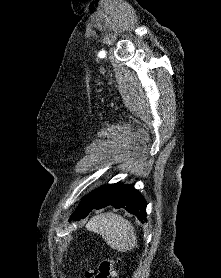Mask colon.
Returning a JSON list of instances; mask_svg holds the SVG:
<instances>
[{
  "label": "colon",
  "instance_id": "1",
  "mask_svg": "<svg viewBox=\"0 0 221 278\" xmlns=\"http://www.w3.org/2000/svg\"><path fill=\"white\" fill-rule=\"evenodd\" d=\"M117 260L108 258L101 261L96 272L87 270L86 278H117Z\"/></svg>",
  "mask_w": 221,
  "mask_h": 278
}]
</instances>
